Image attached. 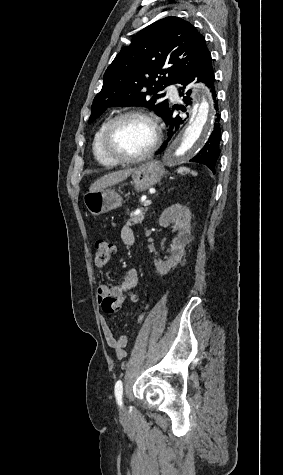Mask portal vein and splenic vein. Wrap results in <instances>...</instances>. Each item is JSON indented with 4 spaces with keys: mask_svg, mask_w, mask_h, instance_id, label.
<instances>
[{
    "mask_svg": "<svg viewBox=\"0 0 283 475\" xmlns=\"http://www.w3.org/2000/svg\"><path fill=\"white\" fill-rule=\"evenodd\" d=\"M143 206H150L152 204L151 200H146V202H142Z\"/></svg>",
    "mask_w": 283,
    "mask_h": 475,
    "instance_id": "portal-vein-and-splenic-vein-1",
    "label": "portal vein and splenic vein"
}]
</instances>
